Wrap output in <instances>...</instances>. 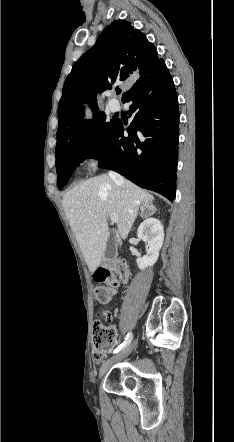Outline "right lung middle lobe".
<instances>
[{
  "label": "right lung middle lobe",
  "instance_id": "1",
  "mask_svg": "<svg viewBox=\"0 0 234 442\" xmlns=\"http://www.w3.org/2000/svg\"><path fill=\"white\" fill-rule=\"evenodd\" d=\"M116 120L106 122L104 112L94 113L90 123L84 122L70 138L55 150L57 184L61 189L79 162L95 157L103 150Z\"/></svg>",
  "mask_w": 234,
  "mask_h": 442
}]
</instances>
